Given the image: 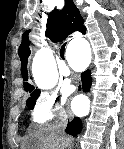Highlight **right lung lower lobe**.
Returning a JSON list of instances; mask_svg holds the SVG:
<instances>
[{
    "label": "right lung lower lobe",
    "instance_id": "obj_1",
    "mask_svg": "<svg viewBox=\"0 0 124 149\" xmlns=\"http://www.w3.org/2000/svg\"><path fill=\"white\" fill-rule=\"evenodd\" d=\"M81 129H82V121L80 118L75 117L71 122H68V126L65 132L72 136H76L81 132Z\"/></svg>",
    "mask_w": 124,
    "mask_h": 149
}]
</instances>
